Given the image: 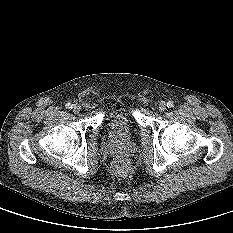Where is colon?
Here are the masks:
<instances>
[{"instance_id":"5ec220e1","label":"colon","mask_w":233,"mask_h":233,"mask_svg":"<svg viewBox=\"0 0 233 233\" xmlns=\"http://www.w3.org/2000/svg\"><path fill=\"white\" fill-rule=\"evenodd\" d=\"M129 167V162L124 158H119L114 163V168L119 173H124Z\"/></svg>"}]
</instances>
